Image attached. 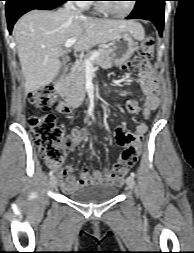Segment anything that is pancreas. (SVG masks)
<instances>
[{
	"label": "pancreas",
	"instance_id": "cf45deb5",
	"mask_svg": "<svg viewBox=\"0 0 194 253\" xmlns=\"http://www.w3.org/2000/svg\"><path fill=\"white\" fill-rule=\"evenodd\" d=\"M99 56L91 61L92 65L102 68L112 66V50L110 48H101ZM95 52H89L84 60H79L71 69L70 73L64 80L62 86L63 95L69 103L82 101L85 97L86 67L85 61L88 60Z\"/></svg>",
	"mask_w": 194,
	"mask_h": 253
}]
</instances>
